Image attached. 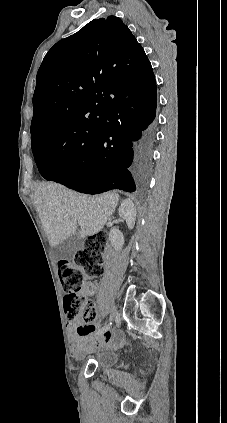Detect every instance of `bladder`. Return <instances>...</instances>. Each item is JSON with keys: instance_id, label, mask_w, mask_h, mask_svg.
Wrapping results in <instances>:
<instances>
[{"instance_id": "bladder-1", "label": "bladder", "mask_w": 227, "mask_h": 423, "mask_svg": "<svg viewBox=\"0 0 227 423\" xmlns=\"http://www.w3.org/2000/svg\"><path fill=\"white\" fill-rule=\"evenodd\" d=\"M119 356L115 351L112 352H100L93 359L97 367L107 369L117 365Z\"/></svg>"}]
</instances>
